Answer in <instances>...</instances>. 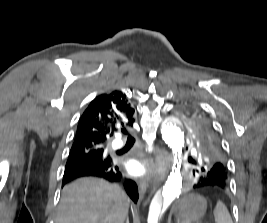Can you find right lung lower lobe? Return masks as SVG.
<instances>
[{"instance_id": "98d812e1", "label": "right lung lower lobe", "mask_w": 267, "mask_h": 223, "mask_svg": "<svg viewBox=\"0 0 267 223\" xmlns=\"http://www.w3.org/2000/svg\"><path fill=\"white\" fill-rule=\"evenodd\" d=\"M88 176L103 178L110 182H123L124 180L119 167L112 162L107 164L92 162L65 171L62 186L74 179ZM123 184L129 197L136 203L139 198L136 183L132 180L125 179Z\"/></svg>"}]
</instances>
